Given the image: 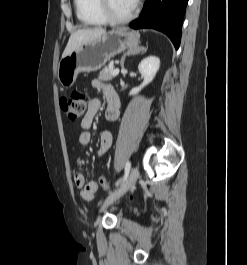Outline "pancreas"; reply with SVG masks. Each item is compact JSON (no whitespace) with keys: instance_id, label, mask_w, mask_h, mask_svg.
Instances as JSON below:
<instances>
[{"instance_id":"obj_1","label":"pancreas","mask_w":247,"mask_h":265,"mask_svg":"<svg viewBox=\"0 0 247 265\" xmlns=\"http://www.w3.org/2000/svg\"><path fill=\"white\" fill-rule=\"evenodd\" d=\"M112 72H113V68L105 67L104 69L100 71L98 78L100 80H105V81L111 80L114 77Z\"/></svg>"}]
</instances>
